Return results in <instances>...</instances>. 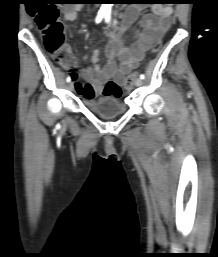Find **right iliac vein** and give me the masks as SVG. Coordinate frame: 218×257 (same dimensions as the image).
I'll use <instances>...</instances> for the list:
<instances>
[{"label":"right iliac vein","mask_w":218,"mask_h":257,"mask_svg":"<svg viewBox=\"0 0 218 257\" xmlns=\"http://www.w3.org/2000/svg\"><path fill=\"white\" fill-rule=\"evenodd\" d=\"M68 89L70 90V91H72L73 89H74V84H73V82H69V84H68Z\"/></svg>","instance_id":"right-iliac-vein-1"}]
</instances>
